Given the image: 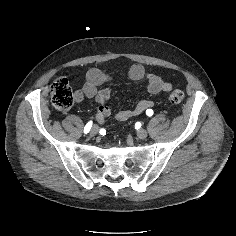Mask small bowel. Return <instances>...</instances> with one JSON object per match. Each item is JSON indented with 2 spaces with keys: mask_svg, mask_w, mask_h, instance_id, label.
<instances>
[{
  "mask_svg": "<svg viewBox=\"0 0 236 236\" xmlns=\"http://www.w3.org/2000/svg\"><path fill=\"white\" fill-rule=\"evenodd\" d=\"M128 78L131 81H144L148 93L156 95L159 93H166L171 91L172 84L164 81L159 76L148 73L145 67L141 64H134L128 71ZM113 80V77L98 68H91L86 73V81L83 87L77 90L74 94L75 100L81 102L85 97L94 99L98 108L96 111V120L99 123H104L110 115V109L107 102L111 96V88L104 87L99 89L98 87L109 83ZM154 102L151 100H141L132 109L121 110L116 114L118 121H126L129 118L138 116L144 113L146 110L152 108Z\"/></svg>",
  "mask_w": 236,
  "mask_h": 236,
  "instance_id": "small-bowel-1",
  "label": "small bowel"
}]
</instances>
